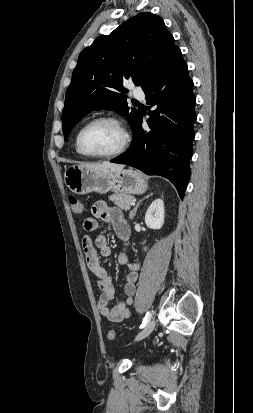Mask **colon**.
<instances>
[{
  "label": "colon",
  "mask_w": 253,
  "mask_h": 413,
  "mask_svg": "<svg viewBox=\"0 0 253 413\" xmlns=\"http://www.w3.org/2000/svg\"><path fill=\"white\" fill-rule=\"evenodd\" d=\"M68 202L70 204V207L75 214H81L84 210V206L82 202L75 196V195H69L68 197ZM107 337L109 340H114L116 338V332L114 330H109Z\"/></svg>",
  "instance_id": "1"
}]
</instances>
